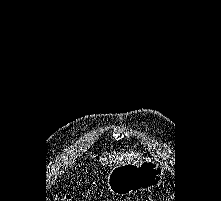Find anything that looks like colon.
Listing matches in <instances>:
<instances>
[{
  "mask_svg": "<svg viewBox=\"0 0 221 201\" xmlns=\"http://www.w3.org/2000/svg\"><path fill=\"white\" fill-rule=\"evenodd\" d=\"M52 201H74V200L70 195H60V196H57ZM167 201H175V198H170Z\"/></svg>",
  "mask_w": 221,
  "mask_h": 201,
  "instance_id": "colon-1",
  "label": "colon"
}]
</instances>
